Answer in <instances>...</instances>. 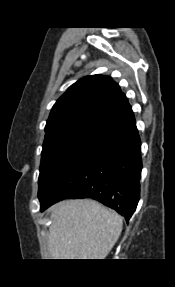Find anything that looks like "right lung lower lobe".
<instances>
[{
    "label": "right lung lower lobe",
    "instance_id": "1",
    "mask_svg": "<svg viewBox=\"0 0 175 287\" xmlns=\"http://www.w3.org/2000/svg\"><path fill=\"white\" fill-rule=\"evenodd\" d=\"M141 142L134 116L121 121L42 196L44 211L66 198H92L128 221L140 197Z\"/></svg>",
    "mask_w": 175,
    "mask_h": 287
}]
</instances>
